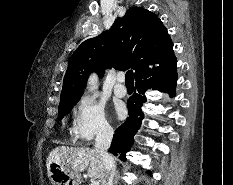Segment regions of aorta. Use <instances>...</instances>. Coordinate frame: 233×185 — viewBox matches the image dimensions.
I'll list each match as a JSON object with an SVG mask.
<instances>
[{
  "instance_id": "obj_1",
  "label": "aorta",
  "mask_w": 233,
  "mask_h": 185,
  "mask_svg": "<svg viewBox=\"0 0 233 185\" xmlns=\"http://www.w3.org/2000/svg\"><path fill=\"white\" fill-rule=\"evenodd\" d=\"M87 89L91 92L97 89V78L95 75L90 76Z\"/></svg>"
}]
</instances>
